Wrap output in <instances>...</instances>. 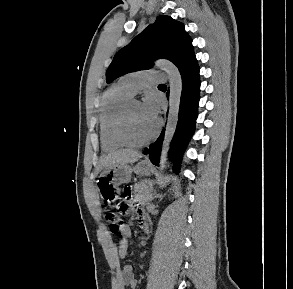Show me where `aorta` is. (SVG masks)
Instances as JSON below:
<instances>
[{"label":"aorta","instance_id":"1","mask_svg":"<svg viewBox=\"0 0 293 289\" xmlns=\"http://www.w3.org/2000/svg\"><path fill=\"white\" fill-rule=\"evenodd\" d=\"M157 66L163 68L169 79V112L165 129V137L160 156V172L166 167L167 153L170 142L174 136L179 114L180 99L182 93V78L178 68L169 61L161 60L156 63Z\"/></svg>","mask_w":293,"mask_h":289}]
</instances>
